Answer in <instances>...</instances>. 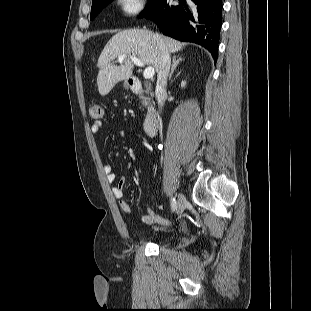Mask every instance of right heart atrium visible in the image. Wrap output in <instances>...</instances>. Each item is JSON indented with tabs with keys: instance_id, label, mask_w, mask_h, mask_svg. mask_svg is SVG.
Listing matches in <instances>:
<instances>
[{
	"instance_id": "right-heart-atrium-1",
	"label": "right heart atrium",
	"mask_w": 311,
	"mask_h": 311,
	"mask_svg": "<svg viewBox=\"0 0 311 311\" xmlns=\"http://www.w3.org/2000/svg\"><path fill=\"white\" fill-rule=\"evenodd\" d=\"M116 5L122 14L133 17L142 12L144 0H116Z\"/></svg>"
}]
</instances>
